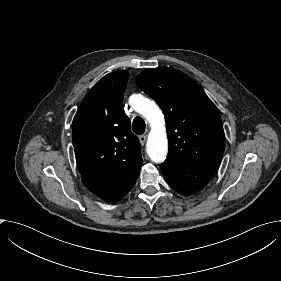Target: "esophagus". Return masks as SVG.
I'll use <instances>...</instances> for the list:
<instances>
[{
    "label": "esophagus",
    "instance_id": "esophagus-1",
    "mask_svg": "<svg viewBox=\"0 0 281 281\" xmlns=\"http://www.w3.org/2000/svg\"><path fill=\"white\" fill-rule=\"evenodd\" d=\"M146 138H147L146 135H141V136L139 137V140H140L141 145H144V144H145Z\"/></svg>",
    "mask_w": 281,
    "mask_h": 281
}]
</instances>
